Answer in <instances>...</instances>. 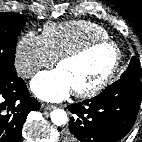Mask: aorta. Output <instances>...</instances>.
Segmentation results:
<instances>
[{"label": "aorta", "mask_w": 142, "mask_h": 142, "mask_svg": "<svg viewBox=\"0 0 142 142\" xmlns=\"http://www.w3.org/2000/svg\"><path fill=\"white\" fill-rule=\"evenodd\" d=\"M50 117H51L52 123L57 126H62L66 124L68 119L66 112L62 109H54L51 112Z\"/></svg>", "instance_id": "obj_1"}]
</instances>
